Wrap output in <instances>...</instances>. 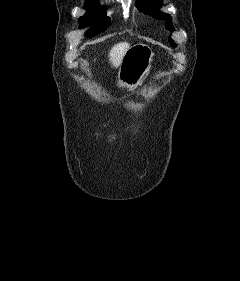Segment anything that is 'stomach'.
Returning <instances> with one entry per match:
<instances>
[{
	"label": "stomach",
	"instance_id": "obj_1",
	"mask_svg": "<svg viewBox=\"0 0 240 281\" xmlns=\"http://www.w3.org/2000/svg\"><path fill=\"white\" fill-rule=\"evenodd\" d=\"M154 53L143 43H137L127 50L119 67L117 85L123 94L133 90L151 68Z\"/></svg>",
	"mask_w": 240,
	"mask_h": 281
}]
</instances>
